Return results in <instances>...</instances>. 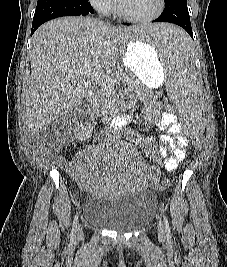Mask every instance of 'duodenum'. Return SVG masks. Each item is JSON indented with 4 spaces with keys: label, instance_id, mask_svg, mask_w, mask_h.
<instances>
[{
    "label": "duodenum",
    "instance_id": "duodenum-1",
    "mask_svg": "<svg viewBox=\"0 0 227 267\" xmlns=\"http://www.w3.org/2000/svg\"><path fill=\"white\" fill-rule=\"evenodd\" d=\"M95 97H96V90L94 88H89L86 93V100L90 105L92 112L97 116H102L104 115L105 111L103 108L94 105Z\"/></svg>",
    "mask_w": 227,
    "mask_h": 267
}]
</instances>
